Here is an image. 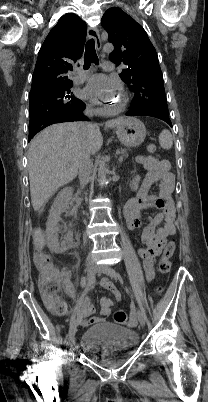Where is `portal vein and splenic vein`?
<instances>
[{"label": "portal vein and splenic vein", "mask_w": 208, "mask_h": 402, "mask_svg": "<svg viewBox=\"0 0 208 402\" xmlns=\"http://www.w3.org/2000/svg\"><path fill=\"white\" fill-rule=\"evenodd\" d=\"M116 157H117V158H120V157H121V154H120V153H117V154H116Z\"/></svg>", "instance_id": "1"}]
</instances>
